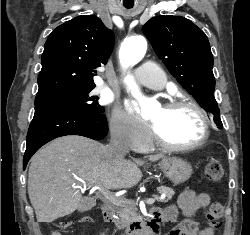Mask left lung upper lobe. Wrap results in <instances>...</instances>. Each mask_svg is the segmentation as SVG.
I'll list each match as a JSON object with an SVG mask.
<instances>
[{"instance_id": "left-lung-upper-lobe-1", "label": "left lung upper lobe", "mask_w": 250, "mask_h": 235, "mask_svg": "<svg viewBox=\"0 0 250 235\" xmlns=\"http://www.w3.org/2000/svg\"><path fill=\"white\" fill-rule=\"evenodd\" d=\"M142 32L170 73L223 126L214 97L213 55L205 33L182 16H157Z\"/></svg>"}]
</instances>
